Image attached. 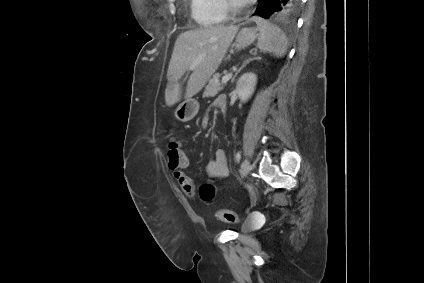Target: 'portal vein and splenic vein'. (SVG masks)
Returning <instances> with one entry per match:
<instances>
[{
    "instance_id": "18ae733b",
    "label": "portal vein and splenic vein",
    "mask_w": 424,
    "mask_h": 283,
    "mask_svg": "<svg viewBox=\"0 0 424 283\" xmlns=\"http://www.w3.org/2000/svg\"><path fill=\"white\" fill-rule=\"evenodd\" d=\"M231 78H232V73H229V74L223 76L222 80H221L222 84H226Z\"/></svg>"
}]
</instances>
